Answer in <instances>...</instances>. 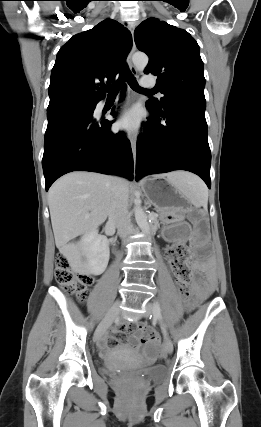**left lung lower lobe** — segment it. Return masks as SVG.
<instances>
[{"label": "left lung lower lobe", "mask_w": 261, "mask_h": 427, "mask_svg": "<svg viewBox=\"0 0 261 427\" xmlns=\"http://www.w3.org/2000/svg\"><path fill=\"white\" fill-rule=\"evenodd\" d=\"M153 118L145 123L146 134L137 142V179L156 173L186 170L211 186V152L207 140L206 102L180 97L161 110L146 103ZM161 118L165 123H161Z\"/></svg>", "instance_id": "left-lung-lower-lobe-1"}]
</instances>
